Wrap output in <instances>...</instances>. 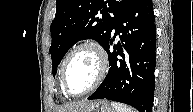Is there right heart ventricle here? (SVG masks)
I'll return each mask as SVG.
<instances>
[{"mask_svg": "<svg viewBox=\"0 0 193 112\" xmlns=\"http://www.w3.org/2000/svg\"><path fill=\"white\" fill-rule=\"evenodd\" d=\"M60 87H61L62 94L65 95V96H67V95L65 94L64 90H63V87H62V84H61V78H60Z\"/></svg>", "mask_w": 193, "mask_h": 112, "instance_id": "1", "label": "right heart ventricle"}]
</instances>
